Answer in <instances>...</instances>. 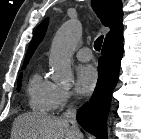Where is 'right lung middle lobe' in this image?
Returning a JSON list of instances; mask_svg holds the SVG:
<instances>
[{"instance_id":"right-lung-middle-lobe-1","label":"right lung middle lobe","mask_w":141,"mask_h":139,"mask_svg":"<svg viewBox=\"0 0 141 139\" xmlns=\"http://www.w3.org/2000/svg\"><path fill=\"white\" fill-rule=\"evenodd\" d=\"M26 67V65H23L22 69H24ZM21 79H22V73L20 74L19 78H18V82H17V90L19 91L21 88Z\"/></svg>"}]
</instances>
